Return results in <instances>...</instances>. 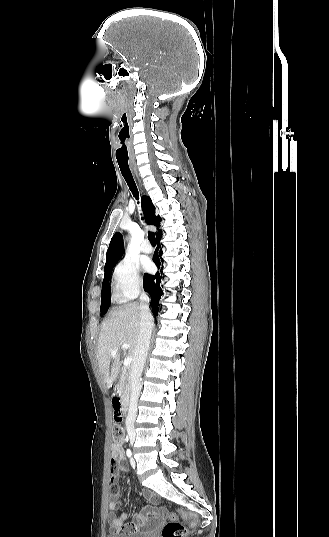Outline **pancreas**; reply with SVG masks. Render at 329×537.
Here are the masks:
<instances>
[{
  "label": "pancreas",
  "instance_id": "cf45deb5",
  "mask_svg": "<svg viewBox=\"0 0 329 537\" xmlns=\"http://www.w3.org/2000/svg\"><path fill=\"white\" fill-rule=\"evenodd\" d=\"M118 392L122 395L125 400H129L131 385L129 374L127 371L122 372L120 376L119 383L117 385Z\"/></svg>",
  "mask_w": 329,
  "mask_h": 537
}]
</instances>
